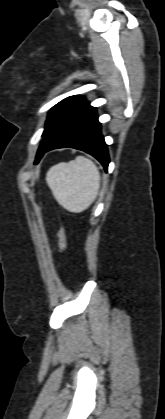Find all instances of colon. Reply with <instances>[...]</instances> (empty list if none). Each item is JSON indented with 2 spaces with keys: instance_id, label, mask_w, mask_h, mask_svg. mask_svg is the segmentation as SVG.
<instances>
[{
  "instance_id": "obj_1",
  "label": "colon",
  "mask_w": 165,
  "mask_h": 419,
  "mask_svg": "<svg viewBox=\"0 0 165 419\" xmlns=\"http://www.w3.org/2000/svg\"><path fill=\"white\" fill-rule=\"evenodd\" d=\"M58 237H59V242H60V248L64 253H66L68 249V241H67L66 232L63 228L60 230Z\"/></svg>"
}]
</instances>
